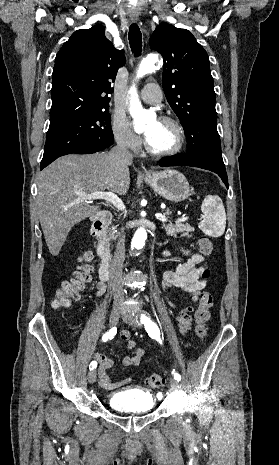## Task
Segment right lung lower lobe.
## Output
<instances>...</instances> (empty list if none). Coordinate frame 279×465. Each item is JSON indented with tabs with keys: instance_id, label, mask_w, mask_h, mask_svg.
I'll list each match as a JSON object with an SVG mask.
<instances>
[{
	"instance_id": "1",
	"label": "right lung lower lobe",
	"mask_w": 279,
	"mask_h": 465,
	"mask_svg": "<svg viewBox=\"0 0 279 465\" xmlns=\"http://www.w3.org/2000/svg\"><path fill=\"white\" fill-rule=\"evenodd\" d=\"M109 146L108 145H87V146H83V147H80L78 149H75V150H72V151H69L67 153H65L64 155L66 154H71V153H75V154H90V153H94V152H98V151H101V150H104L106 148H108ZM63 156V155H62ZM54 161V160H53ZM52 162V161H51ZM51 162L49 163H46V164H41L40 165V169L42 170L44 167L48 166Z\"/></svg>"
}]
</instances>
